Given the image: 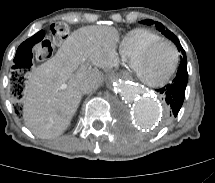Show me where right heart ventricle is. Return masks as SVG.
Masks as SVG:
<instances>
[{
    "label": "right heart ventricle",
    "instance_id": "obj_1",
    "mask_svg": "<svg viewBox=\"0 0 215 183\" xmlns=\"http://www.w3.org/2000/svg\"><path fill=\"white\" fill-rule=\"evenodd\" d=\"M161 36L144 29H134L128 32L119 45V53L124 62L131 67L136 57L152 42Z\"/></svg>",
    "mask_w": 215,
    "mask_h": 183
}]
</instances>
